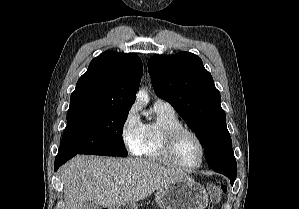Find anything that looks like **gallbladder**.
<instances>
[{
  "instance_id": "bac80fb5",
  "label": "gallbladder",
  "mask_w": 299,
  "mask_h": 209,
  "mask_svg": "<svg viewBox=\"0 0 299 209\" xmlns=\"http://www.w3.org/2000/svg\"><path fill=\"white\" fill-rule=\"evenodd\" d=\"M82 209H99V206L90 199L84 201Z\"/></svg>"
}]
</instances>
